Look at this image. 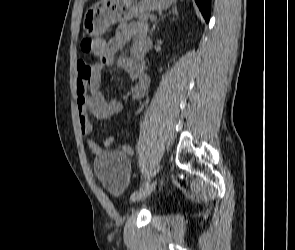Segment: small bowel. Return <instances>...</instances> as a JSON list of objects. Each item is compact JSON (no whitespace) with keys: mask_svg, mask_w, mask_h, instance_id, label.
Returning <instances> with one entry per match:
<instances>
[{"mask_svg":"<svg viewBox=\"0 0 295 250\" xmlns=\"http://www.w3.org/2000/svg\"><path fill=\"white\" fill-rule=\"evenodd\" d=\"M134 39L129 57H119L118 52L131 39ZM151 41L146 29L133 24H121L115 35L108 41L101 40L100 48L93 55L100 58L97 64H89L84 60L77 62L76 95L78 119L83 135L89 136L93 131L90 116L99 120H108L122 110L121 102L107 100L100 92L101 74L107 68H121L131 80V95L134 100L145 97L150 86V78L145 72V53ZM114 137L104 140L105 146H111ZM87 145L93 154H99L101 146L88 139ZM124 154L132 155L130 146L121 147Z\"/></svg>","mask_w":295,"mask_h":250,"instance_id":"c3829d8e","label":"small bowel"}]
</instances>
